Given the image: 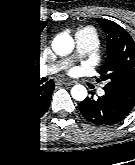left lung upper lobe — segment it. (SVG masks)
<instances>
[{
    "instance_id": "5c2ea615",
    "label": "left lung upper lobe",
    "mask_w": 135,
    "mask_h": 165,
    "mask_svg": "<svg viewBox=\"0 0 135 165\" xmlns=\"http://www.w3.org/2000/svg\"><path fill=\"white\" fill-rule=\"evenodd\" d=\"M107 42V59L99 73L107 81L104 87L119 95L130 105H135V42L130 34L117 23L96 18Z\"/></svg>"
}]
</instances>
